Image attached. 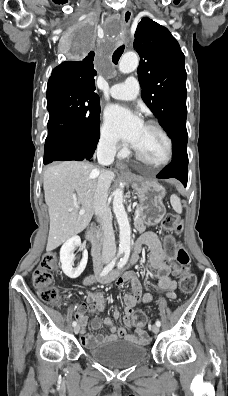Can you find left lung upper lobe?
Returning a JSON list of instances; mask_svg holds the SVG:
<instances>
[{"mask_svg": "<svg viewBox=\"0 0 228 396\" xmlns=\"http://www.w3.org/2000/svg\"><path fill=\"white\" fill-rule=\"evenodd\" d=\"M134 48L140 56L142 99L166 130L187 115L184 54L169 30L147 17L137 26Z\"/></svg>", "mask_w": 228, "mask_h": 396, "instance_id": "left-lung-upper-lobe-1", "label": "left lung upper lobe"}]
</instances>
